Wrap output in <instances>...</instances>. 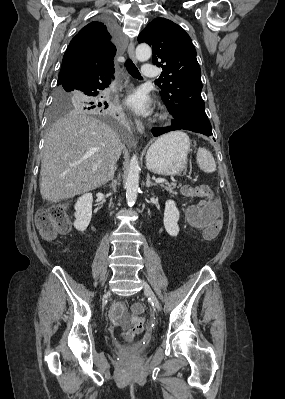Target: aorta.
I'll return each instance as SVG.
<instances>
[{"mask_svg": "<svg viewBox=\"0 0 285 399\" xmlns=\"http://www.w3.org/2000/svg\"><path fill=\"white\" fill-rule=\"evenodd\" d=\"M152 51L149 45L142 43L136 48V58L139 61H146L151 57ZM139 172L140 166L138 157L134 154L129 163L128 175L126 180V200L128 206H133L136 202L139 191Z\"/></svg>", "mask_w": 285, "mask_h": 399, "instance_id": "obj_1", "label": "aorta"}]
</instances>
